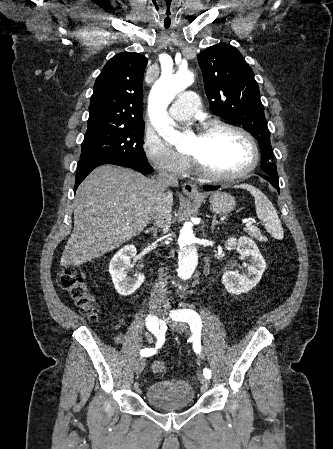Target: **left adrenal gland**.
I'll return each instance as SVG.
<instances>
[{
    "label": "left adrenal gland",
    "mask_w": 333,
    "mask_h": 449,
    "mask_svg": "<svg viewBox=\"0 0 333 449\" xmlns=\"http://www.w3.org/2000/svg\"><path fill=\"white\" fill-rule=\"evenodd\" d=\"M219 222L216 220V216L213 217L212 219V225H211V230L213 231L215 226L218 224Z\"/></svg>",
    "instance_id": "obj_1"
}]
</instances>
